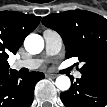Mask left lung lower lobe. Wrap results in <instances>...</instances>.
<instances>
[{
    "mask_svg": "<svg viewBox=\"0 0 107 107\" xmlns=\"http://www.w3.org/2000/svg\"><path fill=\"white\" fill-rule=\"evenodd\" d=\"M60 97L66 107H106L107 79L82 75Z\"/></svg>",
    "mask_w": 107,
    "mask_h": 107,
    "instance_id": "1",
    "label": "left lung lower lobe"
}]
</instances>
